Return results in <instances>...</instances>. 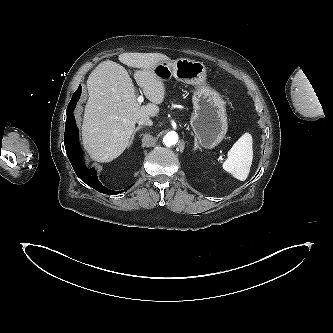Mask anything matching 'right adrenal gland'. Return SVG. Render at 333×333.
<instances>
[{
  "label": "right adrenal gland",
  "mask_w": 333,
  "mask_h": 333,
  "mask_svg": "<svg viewBox=\"0 0 333 333\" xmlns=\"http://www.w3.org/2000/svg\"><path fill=\"white\" fill-rule=\"evenodd\" d=\"M142 128H143L142 126H138V127L135 128V130H134V132H133V134H132V137H131V139H130V142H129L128 147L131 146V144H132V142H133V140H134V137H135L136 132L139 131V130L142 129Z\"/></svg>",
  "instance_id": "right-adrenal-gland-1"
}]
</instances>
